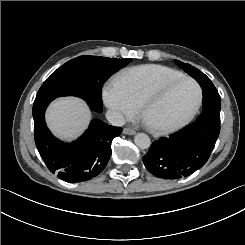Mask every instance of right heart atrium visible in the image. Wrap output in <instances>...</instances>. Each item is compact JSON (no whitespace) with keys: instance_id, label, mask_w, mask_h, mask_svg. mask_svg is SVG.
Listing matches in <instances>:
<instances>
[{"instance_id":"right-heart-atrium-1","label":"right heart atrium","mask_w":245,"mask_h":245,"mask_svg":"<svg viewBox=\"0 0 245 245\" xmlns=\"http://www.w3.org/2000/svg\"><path fill=\"white\" fill-rule=\"evenodd\" d=\"M106 105L113 111L118 120H130L136 113V105L126 93L113 85L106 86L104 90Z\"/></svg>"}]
</instances>
